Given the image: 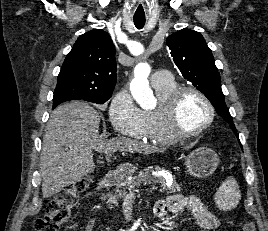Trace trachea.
<instances>
[{"mask_svg": "<svg viewBox=\"0 0 268 231\" xmlns=\"http://www.w3.org/2000/svg\"><path fill=\"white\" fill-rule=\"evenodd\" d=\"M134 24L137 29H142L145 25V19H136L134 18Z\"/></svg>", "mask_w": 268, "mask_h": 231, "instance_id": "3493384b", "label": "trachea"}]
</instances>
